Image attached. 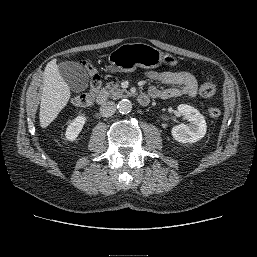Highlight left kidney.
<instances>
[{
  "mask_svg": "<svg viewBox=\"0 0 257 257\" xmlns=\"http://www.w3.org/2000/svg\"><path fill=\"white\" fill-rule=\"evenodd\" d=\"M177 109L189 123L174 126L171 131L173 138L181 143H195L202 139L207 130L204 116L197 109L187 104H180Z\"/></svg>",
  "mask_w": 257,
  "mask_h": 257,
  "instance_id": "1",
  "label": "left kidney"
}]
</instances>
